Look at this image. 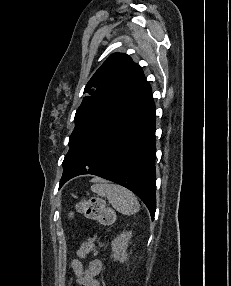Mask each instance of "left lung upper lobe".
<instances>
[{
  "label": "left lung upper lobe",
  "instance_id": "5c2ea615",
  "mask_svg": "<svg viewBox=\"0 0 231 286\" xmlns=\"http://www.w3.org/2000/svg\"><path fill=\"white\" fill-rule=\"evenodd\" d=\"M145 82L142 69L126 54L114 53L99 67L84 89L63 167L86 133Z\"/></svg>",
  "mask_w": 231,
  "mask_h": 286
}]
</instances>
